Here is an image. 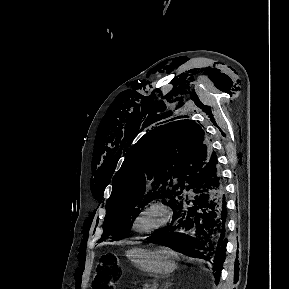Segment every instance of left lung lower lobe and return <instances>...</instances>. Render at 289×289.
Segmentation results:
<instances>
[{
  "label": "left lung lower lobe",
  "instance_id": "1",
  "mask_svg": "<svg viewBox=\"0 0 289 289\" xmlns=\"http://www.w3.org/2000/svg\"><path fill=\"white\" fill-rule=\"evenodd\" d=\"M171 224L149 241L214 264L218 281L225 260V187L214 153L202 171L174 202Z\"/></svg>",
  "mask_w": 289,
  "mask_h": 289
}]
</instances>
